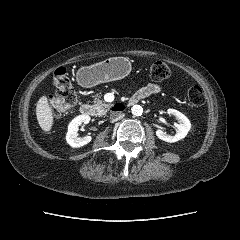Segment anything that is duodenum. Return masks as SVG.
Returning <instances> with one entry per match:
<instances>
[{"instance_id": "410a0bca", "label": "duodenum", "mask_w": 240, "mask_h": 240, "mask_svg": "<svg viewBox=\"0 0 240 240\" xmlns=\"http://www.w3.org/2000/svg\"><path fill=\"white\" fill-rule=\"evenodd\" d=\"M142 99V97L138 94V93H135L134 95H132L128 101L124 104V103H120V104H117L115 106V108L117 109V111H122L124 110V108L127 106H132L136 103H138L140 100ZM80 111L82 114H85V115H92L93 114V109L92 107L89 105V104H82L81 107H80Z\"/></svg>"}]
</instances>
